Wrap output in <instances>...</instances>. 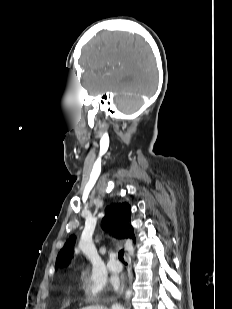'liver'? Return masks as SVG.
Segmentation results:
<instances>
[{
  "instance_id": "liver-1",
  "label": "liver",
  "mask_w": 232,
  "mask_h": 309,
  "mask_svg": "<svg viewBox=\"0 0 232 309\" xmlns=\"http://www.w3.org/2000/svg\"><path fill=\"white\" fill-rule=\"evenodd\" d=\"M82 309H108L104 306H88V307H84Z\"/></svg>"
}]
</instances>
